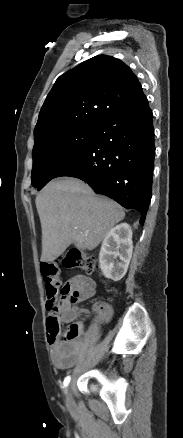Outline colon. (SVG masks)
Wrapping results in <instances>:
<instances>
[{
    "instance_id": "obj_1",
    "label": "colon",
    "mask_w": 183,
    "mask_h": 438,
    "mask_svg": "<svg viewBox=\"0 0 183 438\" xmlns=\"http://www.w3.org/2000/svg\"><path fill=\"white\" fill-rule=\"evenodd\" d=\"M60 265L67 269H82L85 272L93 273L97 268L96 259L78 250L67 251L60 261L43 262L40 270L46 290V310L48 317L46 320L48 333L59 336L60 329V310L65 300L76 302L77 296L71 291L70 287L64 285L60 288ZM58 294L60 297L58 298ZM81 332L77 323H72L63 333L62 339L71 341L76 339Z\"/></svg>"
}]
</instances>
